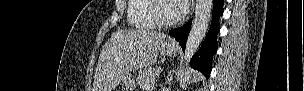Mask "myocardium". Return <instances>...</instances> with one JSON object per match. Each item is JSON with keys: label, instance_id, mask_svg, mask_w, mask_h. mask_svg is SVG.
<instances>
[{"label": "myocardium", "instance_id": "f54148a6", "mask_svg": "<svg viewBox=\"0 0 304 91\" xmlns=\"http://www.w3.org/2000/svg\"><path fill=\"white\" fill-rule=\"evenodd\" d=\"M165 1H172V0H153L152 6H151V14H152L154 21L156 22V24L158 26L164 27V28L175 26V25L179 24L183 19V15H180L178 18L172 19V20L165 19L161 15V3L165 2Z\"/></svg>", "mask_w": 304, "mask_h": 91}]
</instances>
